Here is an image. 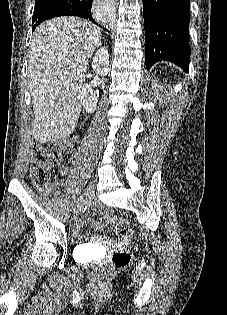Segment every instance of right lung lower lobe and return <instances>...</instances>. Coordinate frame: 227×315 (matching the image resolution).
I'll return each mask as SVG.
<instances>
[{"mask_svg":"<svg viewBox=\"0 0 227 315\" xmlns=\"http://www.w3.org/2000/svg\"><path fill=\"white\" fill-rule=\"evenodd\" d=\"M93 0H74L73 3L63 9H59L57 16H78L89 19L97 24L92 18L91 8Z\"/></svg>","mask_w":227,"mask_h":315,"instance_id":"98d812e1","label":"right lung lower lobe"}]
</instances>
